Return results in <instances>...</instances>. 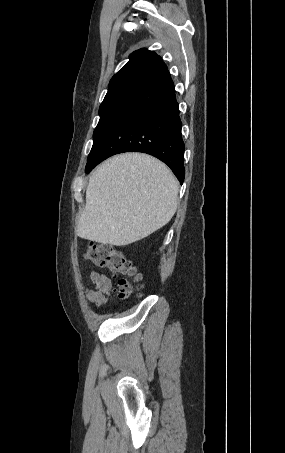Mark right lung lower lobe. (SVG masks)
I'll list each match as a JSON object with an SVG mask.
<instances>
[{
    "label": "right lung lower lobe",
    "mask_w": 285,
    "mask_h": 453,
    "mask_svg": "<svg viewBox=\"0 0 285 453\" xmlns=\"http://www.w3.org/2000/svg\"><path fill=\"white\" fill-rule=\"evenodd\" d=\"M179 105L169 71L154 77L120 108L85 171L123 152H143L167 164L182 184L184 150Z\"/></svg>",
    "instance_id": "obj_1"
}]
</instances>
